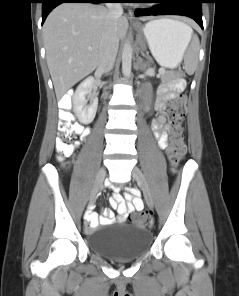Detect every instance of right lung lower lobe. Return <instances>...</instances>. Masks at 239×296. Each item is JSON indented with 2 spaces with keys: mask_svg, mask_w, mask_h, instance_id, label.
Wrapping results in <instances>:
<instances>
[{
  "mask_svg": "<svg viewBox=\"0 0 239 296\" xmlns=\"http://www.w3.org/2000/svg\"><path fill=\"white\" fill-rule=\"evenodd\" d=\"M111 0H41L42 3V24L47 15L61 3H106Z\"/></svg>",
  "mask_w": 239,
  "mask_h": 296,
  "instance_id": "right-lung-lower-lobe-1",
  "label": "right lung lower lobe"
}]
</instances>
